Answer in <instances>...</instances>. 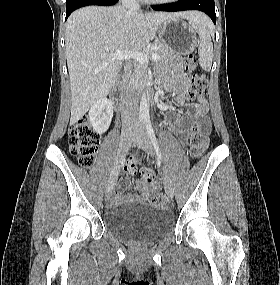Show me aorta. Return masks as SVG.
<instances>
[{"label": "aorta", "instance_id": "aorta-1", "mask_svg": "<svg viewBox=\"0 0 280 285\" xmlns=\"http://www.w3.org/2000/svg\"><path fill=\"white\" fill-rule=\"evenodd\" d=\"M140 117L146 118L149 116V103L146 93H142L139 109Z\"/></svg>", "mask_w": 280, "mask_h": 285}]
</instances>
